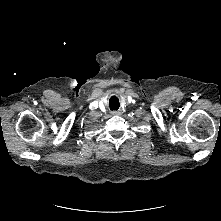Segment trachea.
<instances>
[{
	"label": "trachea",
	"instance_id": "1",
	"mask_svg": "<svg viewBox=\"0 0 221 221\" xmlns=\"http://www.w3.org/2000/svg\"><path fill=\"white\" fill-rule=\"evenodd\" d=\"M109 107L111 110H118L120 107L119 99L116 96H112L109 100Z\"/></svg>",
	"mask_w": 221,
	"mask_h": 221
}]
</instances>
